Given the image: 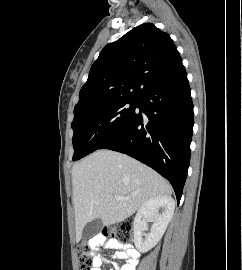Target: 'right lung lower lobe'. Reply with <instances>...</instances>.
I'll return each mask as SVG.
<instances>
[{
	"label": "right lung lower lobe",
	"mask_w": 242,
	"mask_h": 270,
	"mask_svg": "<svg viewBox=\"0 0 242 270\" xmlns=\"http://www.w3.org/2000/svg\"><path fill=\"white\" fill-rule=\"evenodd\" d=\"M126 124L98 149L127 154L150 166L182 196L190 163L193 103L183 65L152 84L137 100Z\"/></svg>",
	"instance_id": "right-lung-lower-lobe-1"
}]
</instances>
